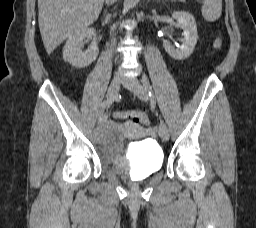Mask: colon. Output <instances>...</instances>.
Returning <instances> with one entry per match:
<instances>
[{"label":"colon","mask_w":256,"mask_h":228,"mask_svg":"<svg viewBox=\"0 0 256 228\" xmlns=\"http://www.w3.org/2000/svg\"><path fill=\"white\" fill-rule=\"evenodd\" d=\"M222 45V41L220 38H218L215 41V46L217 48L221 47ZM115 118L117 119H127V118H131L134 121L142 124V125H150V119L147 116L146 113L142 112V111H133V112H126V111H117L114 114Z\"/></svg>","instance_id":"obj_1"}]
</instances>
